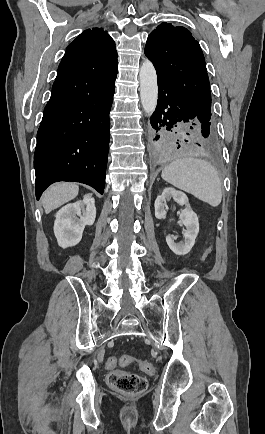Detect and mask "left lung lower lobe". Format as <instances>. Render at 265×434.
I'll return each instance as SVG.
<instances>
[{"label":"left lung lower lobe","instance_id":"1","mask_svg":"<svg viewBox=\"0 0 265 434\" xmlns=\"http://www.w3.org/2000/svg\"><path fill=\"white\" fill-rule=\"evenodd\" d=\"M158 104L150 118L157 131L171 130L178 122L191 123L193 146L203 153H216L220 148L219 137L214 122L204 111L194 109L186 99L163 79L158 77ZM172 132V130H171ZM153 148L161 155H171L182 145L168 140L164 135H156Z\"/></svg>","mask_w":265,"mask_h":434}]
</instances>
